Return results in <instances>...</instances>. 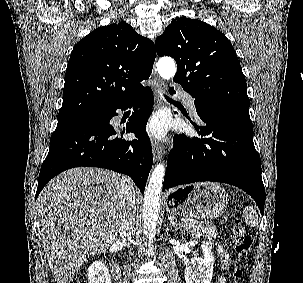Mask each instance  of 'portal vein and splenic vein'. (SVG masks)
Returning a JSON list of instances; mask_svg holds the SVG:
<instances>
[{"label":"portal vein and splenic vein","instance_id":"obj_1","mask_svg":"<svg viewBox=\"0 0 303 283\" xmlns=\"http://www.w3.org/2000/svg\"><path fill=\"white\" fill-rule=\"evenodd\" d=\"M179 225H180V226H182V225H183V223H181V222H180V223H179Z\"/></svg>","mask_w":303,"mask_h":283}]
</instances>
